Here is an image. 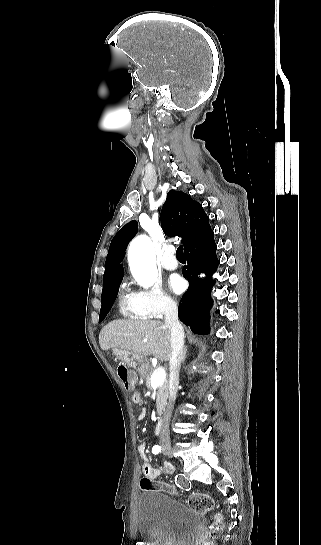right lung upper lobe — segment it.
I'll return each instance as SVG.
<instances>
[{"mask_svg":"<svg viewBox=\"0 0 321 545\" xmlns=\"http://www.w3.org/2000/svg\"><path fill=\"white\" fill-rule=\"evenodd\" d=\"M161 224L168 236L182 237L184 247L209 226L208 216L202 206L188 194L175 190H170L167 194L161 211ZM137 229V222L131 221L112 239L105 263L103 290L121 283L123 267L119 263Z\"/></svg>","mask_w":321,"mask_h":545,"instance_id":"cb5924a9","label":"right lung upper lobe"}]
</instances>
